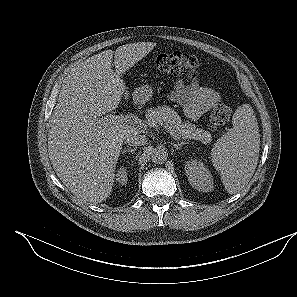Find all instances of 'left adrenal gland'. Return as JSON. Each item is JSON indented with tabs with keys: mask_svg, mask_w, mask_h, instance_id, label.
Here are the masks:
<instances>
[{
	"mask_svg": "<svg viewBox=\"0 0 297 297\" xmlns=\"http://www.w3.org/2000/svg\"><path fill=\"white\" fill-rule=\"evenodd\" d=\"M187 144L186 142H179V143H172L173 147L176 149V150H179L182 148L183 145Z\"/></svg>",
	"mask_w": 297,
	"mask_h": 297,
	"instance_id": "a2214340",
	"label": "left adrenal gland"
}]
</instances>
